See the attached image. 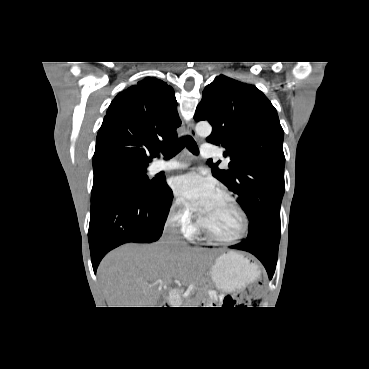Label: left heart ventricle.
Instances as JSON below:
<instances>
[{
  "label": "left heart ventricle",
  "mask_w": 369,
  "mask_h": 369,
  "mask_svg": "<svg viewBox=\"0 0 369 369\" xmlns=\"http://www.w3.org/2000/svg\"><path fill=\"white\" fill-rule=\"evenodd\" d=\"M203 224L222 237H235L241 230V217L226 198L217 194L201 214Z\"/></svg>",
  "instance_id": "b2bd125f"
}]
</instances>
